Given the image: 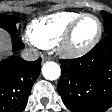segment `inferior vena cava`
<instances>
[{
  "mask_svg": "<svg viewBox=\"0 0 112 112\" xmlns=\"http://www.w3.org/2000/svg\"><path fill=\"white\" fill-rule=\"evenodd\" d=\"M40 54L35 49H25L21 53V57L26 61H35L39 58Z\"/></svg>",
  "mask_w": 112,
  "mask_h": 112,
  "instance_id": "1",
  "label": "inferior vena cava"
}]
</instances>
